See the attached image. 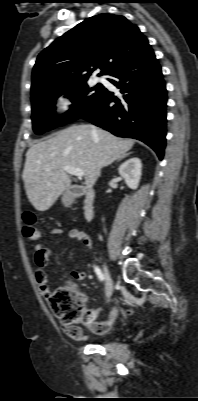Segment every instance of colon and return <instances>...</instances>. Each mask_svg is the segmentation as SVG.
<instances>
[{
	"label": "colon",
	"instance_id": "obj_1",
	"mask_svg": "<svg viewBox=\"0 0 198 401\" xmlns=\"http://www.w3.org/2000/svg\"><path fill=\"white\" fill-rule=\"evenodd\" d=\"M22 221L24 236L31 241L39 240L42 231L36 225L35 215L27 212ZM47 296L53 314L61 320L70 336H78L79 325L91 327L95 323L94 312L86 307L82 295L72 287L61 286Z\"/></svg>",
	"mask_w": 198,
	"mask_h": 401
}]
</instances>
